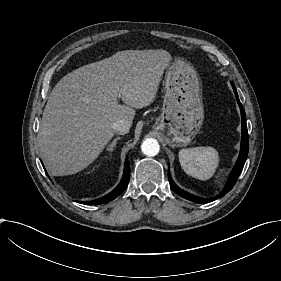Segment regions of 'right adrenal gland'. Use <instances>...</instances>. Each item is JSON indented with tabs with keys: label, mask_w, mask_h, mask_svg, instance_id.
Masks as SVG:
<instances>
[{
	"label": "right adrenal gland",
	"mask_w": 281,
	"mask_h": 281,
	"mask_svg": "<svg viewBox=\"0 0 281 281\" xmlns=\"http://www.w3.org/2000/svg\"><path fill=\"white\" fill-rule=\"evenodd\" d=\"M120 139H121V137L115 138V139L111 142V144L108 145V147H107L106 150L109 151V152H112V151L114 150V148L116 147V145H117V141L120 140Z\"/></svg>",
	"instance_id": "2a0ac1e0"
}]
</instances>
